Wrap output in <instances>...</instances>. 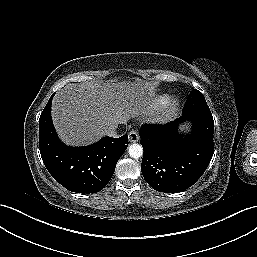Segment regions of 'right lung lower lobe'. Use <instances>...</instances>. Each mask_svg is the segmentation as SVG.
Instances as JSON below:
<instances>
[{"label": "right lung lower lobe", "mask_w": 257, "mask_h": 257, "mask_svg": "<svg viewBox=\"0 0 257 257\" xmlns=\"http://www.w3.org/2000/svg\"><path fill=\"white\" fill-rule=\"evenodd\" d=\"M50 97L39 119V145L42 160L52 177L67 190L96 193L111 179L116 163L128 146V136L104 137L90 146L64 145L55 132Z\"/></svg>", "instance_id": "1"}]
</instances>
